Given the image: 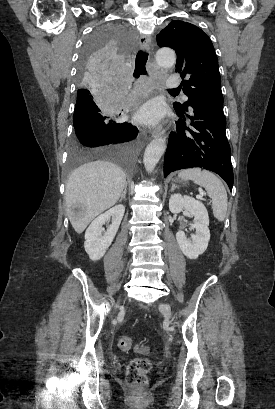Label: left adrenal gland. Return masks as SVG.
<instances>
[{
    "instance_id": "1",
    "label": "left adrenal gland",
    "mask_w": 275,
    "mask_h": 409,
    "mask_svg": "<svg viewBox=\"0 0 275 409\" xmlns=\"http://www.w3.org/2000/svg\"><path fill=\"white\" fill-rule=\"evenodd\" d=\"M174 188H178V186H175V182H172V186L170 188V192H172V190H174Z\"/></svg>"
}]
</instances>
